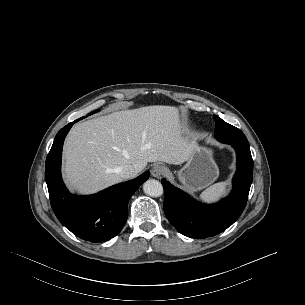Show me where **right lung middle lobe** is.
Returning <instances> with one entry per match:
<instances>
[{
	"label": "right lung middle lobe",
	"mask_w": 305,
	"mask_h": 305,
	"mask_svg": "<svg viewBox=\"0 0 305 305\" xmlns=\"http://www.w3.org/2000/svg\"><path fill=\"white\" fill-rule=\"evenodd\" d=\"M96 112H98V110L91 112L89 115H91V114H93V113H96ZM83 118H84V117H83Z\"/></svg>",
	"instance_id": "1"
}]
</instances>
